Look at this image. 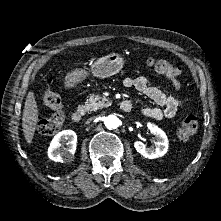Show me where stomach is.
I'll return each instance as SVG.
<instances>
[{
    "label": "stomach",
    "instance_id": "1",
    "mask_svg": "<svg viewBox=\"0 0 221 221\" xmlns=\"http://www.w3.org/2000/svg\"><path fill=\"white\" fill-rule=\"evenodd\" d=\"M124 59L119 53H111L97 59L91 66V73L97 78H108L113 76L123 68ZM89 73L85 69H75L67 74L66 85L74 87L88 77Z\"/></svg>",
    "mask_w": 221,
    "mask_h": 221
}]
</instances>
